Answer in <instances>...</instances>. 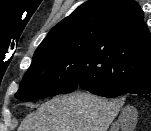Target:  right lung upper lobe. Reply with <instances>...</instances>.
<instances>
[{
  "label": "right lung upper lobe",
  "mask_w": 151,
  "mask_h": 131,
  "mask_svg": "<svg viewBox=\"0 0 151 131\" xmlns=\"http://www.w3.org/2000/svg\"><path fill=\"white\" fill-rule=\"evenodd\" d=\"M76 43L95 59L110 85L151 82V36L133 0H89L59 22L39 45Z\"/></svg>",
  "instance_id": "1"
}]
</instances>
